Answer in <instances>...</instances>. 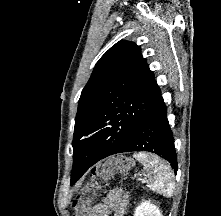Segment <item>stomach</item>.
<instances>
[{
	"label": "stomach",
	"mask_w": 221,
	"mask_h": 216,
	"mask_svg": "<svg viewBox=\"0 0 221 216\" xmlns=\"http://www.w3.org/2000/svg\"><path fill=\"white\" fill-rule=\"evenodd\" d=\"M90 187V190L93 189L94 191L101 188L97 183L92 184Z\"/></svg>",
	"instance_id": "0dacf381"
}]
</instances>
